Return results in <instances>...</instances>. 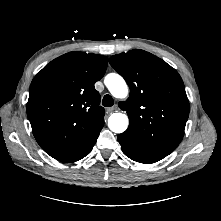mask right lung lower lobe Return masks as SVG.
Here are the masks:
<instances>
[{
    "mask_svg": "<svg viewBox=\"0 0 221 221\" xmlns=\"http://www.w3.org/2000/svg\"><path fill=\"white\" fill-rule=\"evenodd\" d=\"M103 125H104V122L99 124L81 146L63 155L55 157V159L61 162L73 163L84 158L86 155H88L91 152L99 136V133L101 129L103 128Z\"/></svg>",
    "mask_w": 221,
    "mask_h": 221,
    "instance_id": "obj_1",
    "label": "right lung lower lobe"
}]
</instances>
